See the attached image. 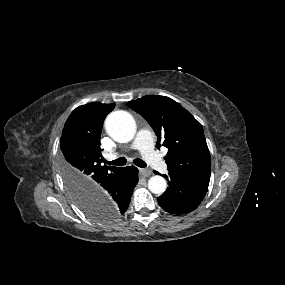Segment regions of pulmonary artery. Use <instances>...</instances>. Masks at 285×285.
Masks as SVG:
<instances>
[{"instance_id": "1", "label": "pulmonary artery", "mask_w": 285, "mask_h": 285, "mask_svg": "<svg viewBox=\"0 0 285 285\" xmlns=\"http://www.w3.org/2000/svg\"><path fill=\"white\" fill-rule=\"evenodd\" d=\"M138 150L144 160L154 169L161 173L168 170V166L162 157L154 150L153 135L146 129H139L135 139L129 145L128 150ZM118 156L117 153H110L107 155L108 160H114Z\"/></svg>"}]
</instances>
